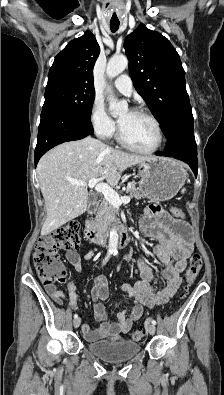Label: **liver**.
<instances>
[{
	"label": "liver",
	"instance_id": "liver-1",
	"mask_svg": "<svg viewBox=\"0 0 224 395\" xmlns=\"http://www.w3.org/2000/svg\"><path fill=\"white\" fill-rule=\"evenodd\" d=\"M150 158L108 147L92 137L63 143L46 153L37 165L47 211L41 235L86 211L89 198L86 187L72 185L70 180L88 183L90 179L104 177L107 184L115 186L124 170Z\"/></svg>",
	"mask_w": 224,
	"mask_h": 395
}]
</instances>
